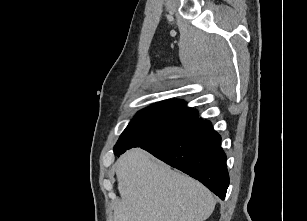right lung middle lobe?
<instances>
[{"label": "right lung middle lobe", "instance_id": "right-lung-middle-lobe-1", "mask_svg": "<svg viewBox=\"0 0 307 221\" xmlns=\"http://www.w3.org/2000/svg\"><path fill=\"white\" fill-rule=\"evenodd\" d=\"M198 113L183 103L160 102L139 111L114 148L119 156L132 147H145L175 137L198 124Z\"/></svg>", "mask_w": 307, "mask_h": 221}]
</instances>
